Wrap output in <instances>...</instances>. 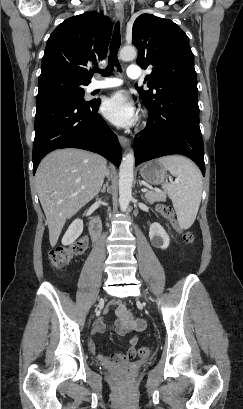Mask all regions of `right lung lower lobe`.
Returning a JSON list of instances; mask_svg holds the SVG:
<instances>
[{
	"instance_id": "98d812e1",
	"label": "right lung lower lobe",
	"mask_w": 243,
	"mask_h": 409,
	"mask_svg": "<svg viewBox=\"0 0 243 409\" xmlns=\"http://www.w3.org/2000/svg\"><path fill=\"white\" fill-rule=\"evenodd\" d=\"M100 100L81 101L56 97L37 102L33 174L49 152L59 148H80L98 153L117 167L121 146L116 135L98 114Z\"/></svg>"
}]
</instances>
